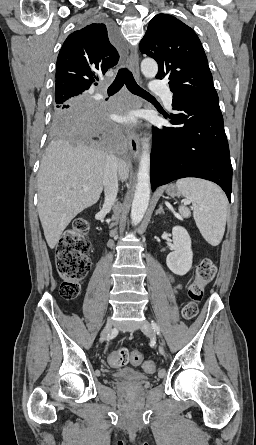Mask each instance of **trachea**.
Here are the masks:
<instances>
[{"label":"trachea","instance_id":"obj_1","mask_svg":"<svg viewBox=\"0 0 256 445\" xmlns=\"http://www.w3.org/2000/svg\"><path fill=\"white\" fill-rule=\"evenodd\" d=\"M126 84L127 89L141 97H151V95L143 90L135 81L132 73L127 68H122L118 71L115 80L108 88V94L112 95L117 93L123 85Z\"/></svg>","mask_w":256,"mask_h":445}]
</instances>
